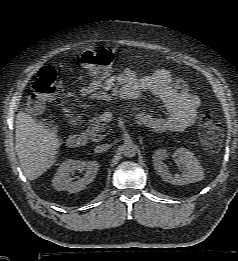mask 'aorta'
<instances>
[{"label": "aorta", "mask_w": 238, "mask_h": 261, "mask_svg": "<svg viewBox=\"0 0 238 261\" xmlns=\"http://www.w3.org/2000/svg\"><path fill=\"white\" fill-rule=\"evenodd\" d=\"M138 147L132 141L124 143L122 147L123 155L127 158H132L136 155Z\"/></svg>", "instance_id": "obj_1"}]
</instances>
